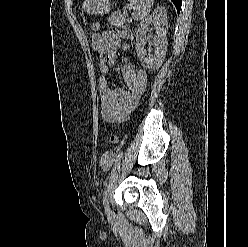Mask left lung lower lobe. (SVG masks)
Returning <instances> with one entry per match:
<instances>
[{"label":"left lung lower lobe","instance_id":"obj_1","mask_svg":"<svg viewBox=\"0 0 248 247\" xmlns=\"http://www.w3.org/2000/svg\"><path fill=\"white\" fill-rule=\"evenodd\" d=\"M171 1L174 3L177 12L179 13L182 5V0H171Z\"/></svg>","mask_w":248,"mask_h":247}]
</instances>
